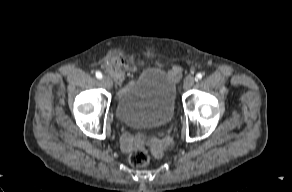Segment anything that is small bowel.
Returning <instances> with one entry per match:
<instances>
[{
  "instance_id": "small-bowel-1",
  "label": "small bowel",
  "mask_w": 292,
  "mask_h": 192,
  "mask_svg": "<svg viewBox=\"0 0 292 192\" xmlns=\"http://www.w3.org/2000/svg\"><path fill=\"white\" fill-rule=\"evenodd\" d=\"M168 75L172 80H177L180 75H181V69L179 67H173L171 70L168 71ZM174 130L171 127L166 128V130L161 129L158 132L159 137H161V140L154 138L151 140L150 145L153 148L152 153L154 156L159 157L162 155L163 150H162V146L167 147L170 145L171 140L168 136L173 135ZM146 136L148 137H152L155 134L154 129L152 128H148L145 131ZM121 144H122V148L129 152L132 151L138 147H140L141 143L139 142V140H135L132 137H130L127 134H124L121 137Z\"/></svg>"
}]
</instances>
